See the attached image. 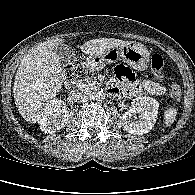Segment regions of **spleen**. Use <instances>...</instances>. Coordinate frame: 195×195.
<instances>
[{"label": "spleen", "mask_w": 195, "mask_h": 195, "mask_svg": "<svg viewBox=\"0 0 195 195\" xmlns=\"http://www.w3.org/2000/svg\"><path fill=\"white\" fill-rule=\"evenodd\" d=\"M177 115V109L174 107L168 108L164 112V123L166 127L171 126V124L175 121Z\"/></svg>", "instance_id": "1"}]
</instances>
